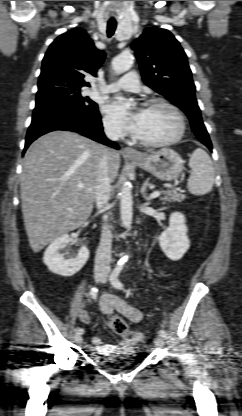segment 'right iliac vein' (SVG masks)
Here are the masks:
<instances>
[{"instance_id": "obj_1", "label": "right iliac vein", "mask_w": 242, "mask_h": 416, "mask_svg": "<svg viewBox=\"0 0 242 416\" xmlns=\"http://www.w3.org/2000/svg\"><path fill=\"white\" fill-rule=\"evenodd\" d=\"M94 277L96 281H100L103 277H104V270L103 269H96L95 273H94ZM74 340L76 343H82L83 338L81 336V334L76 333L74 336Z\"/></svg>"}]
</instances>
